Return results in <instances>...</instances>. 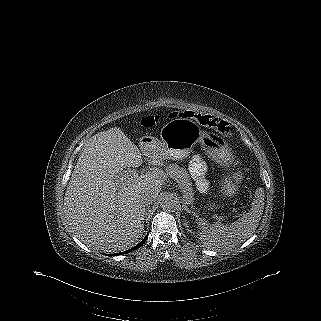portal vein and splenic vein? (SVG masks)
<instances>
[{
	"label": "portal vein and splenic vein",
	"mask_w": 321,
	"mask_h": 321,
	"mask_svg": "<svg viewBox=\"0 0 321 321\" xmlns=\"http://www.w3.org/2000/svg\"><path fill=\"white\" fill-rule=\"evenodd\" d=\"M131 173H132L133 176H137L138 175L137 171H131Z\"/></svg>",
	"instance_id": "portal-vein-and-splenic-vein-1"
}]
</instances>
